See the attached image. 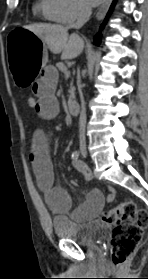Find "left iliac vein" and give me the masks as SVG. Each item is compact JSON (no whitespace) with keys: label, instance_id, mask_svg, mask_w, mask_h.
Segmentation results:
<instances>
[{"label":"left iliac vein","instance_id":"1","mask_svg":"<svg viewBox=\"0 0 148 279\" xmlns=\"http://www.w3.org/2000/svg\"><path fill=\"white\" fill-rule=\"evenodd\" d=\"M82 155H83L84 157L87 156V151H86L85 149L82 150Z\"/></svg>","mask_w":148,"mask_h":279}]
</instances>
